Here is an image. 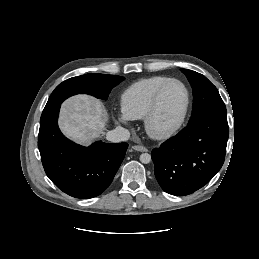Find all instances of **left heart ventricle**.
<instances>
[{"instance_id":"left-heart-ventricle-1","label":"left heart ventricle","mask_w":259,"mask_h":259,"mask_svg":"<svg viewBox=\"0 0 259 259\" xmlns=\"http://www.w3.org/2000/svg\"><path fill=\"white\" fill-rule=\"evenodd\" d=\"M186 103V93L179 83L169 84L162 92L159 107L153 120L157 130H166L180 118Z\"/></svg>"}]
</instances>
